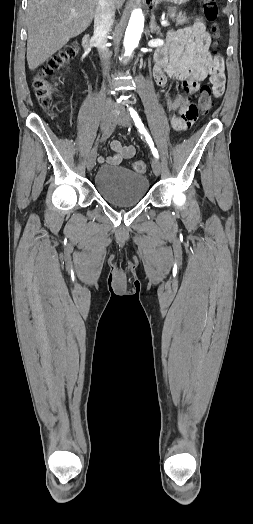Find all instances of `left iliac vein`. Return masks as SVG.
Returning a JSON list of instances; mask_svg holds the SVG:
<instances>
[{"instance_id":"obj_1","label":"left iliac vein","mask_w":253,"mask_h":524,"mask_svg":"<svg viewBox=\"0 0 253 524\" xmlns=\"http://www.w3.org/2000/svg\"><path fill=\"white\" fill-rule=\"evenodd\" d=\"M114 122L118 123L121 126L128 127L130 125V117L127 113L121 110L120 113L114 117ZM151 165L154 174L156 176H159L162 168L161 162L157 158H153Z\"/></svg>"}]
</instances>
